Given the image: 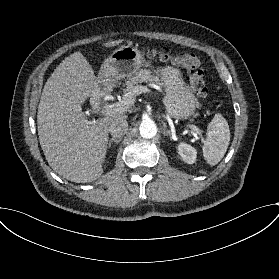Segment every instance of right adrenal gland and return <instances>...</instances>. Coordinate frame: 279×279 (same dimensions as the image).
I'll use <instances>...</instances> for the list:
<instances>
[{
	"label": "right adrenal gland",
	"instance_id": "1",
	"mask_svg": "<svg viewBox=\"0 0 279 279\" xmlns=\"http://www.w3.org/2000/svg\"><path fill=\"white\" fill-rule=\"evenodd\" d=\"M121 140H122V138H111L110 140H109V142H108V148H110L111 147V145H112V143L114 142V143H116V144H118V143H120L121 142Z\"/></svg>",
	"mask_w": 279,
	"mask_h": 279
}]
</instances>
